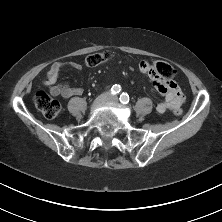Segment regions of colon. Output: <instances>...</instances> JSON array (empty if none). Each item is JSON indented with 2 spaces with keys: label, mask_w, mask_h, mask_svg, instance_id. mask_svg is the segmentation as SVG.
Instances as JSON below:
<instances>
[{
  "label": "colon",
  "mask_w": 222,
  "mask_h": 222,
  "mask_svg": "<svg viewBox=\"0 0 222 222\" xmlns=\"http://www.w3.org/2000/svg\"><path fill=\"white\" fill-rule=\"evenodd\" d=\"M110 57L111 54L109 51L93 52L85 58V64L90 67L100 66L106 63ZM152 65L154 70L166 79V82L172 81L175 76V70L169 63L156 61ZM34 103L37 109L48 119L57 117L61 109L60 103L45 91H39L35 94ZM173 114L180 115L181 110L174 109Z\"/></svg>",
  "instance_id": "colon-1"
}]
</instances>
